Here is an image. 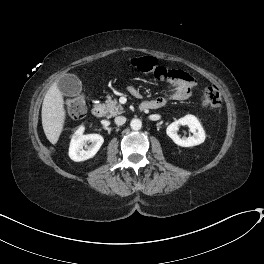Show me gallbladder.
<instances>
[{
	"mask_svg": "<svg viewBox=\"0 0 264 264\" xmlns=\"http://www.w3.org/2000/svg\"><path fill=\"white\" fill-rule=\"evenodd\" d=\"M59 90L67 96H78L82 90L80 79L73 74H67L58 82Z\"/></svg>",
	"mask_w": 264,
	"mask_h": 264,
	"instance_id": "obj_1",
	"label": "gallbladder"
}]
</instances>
